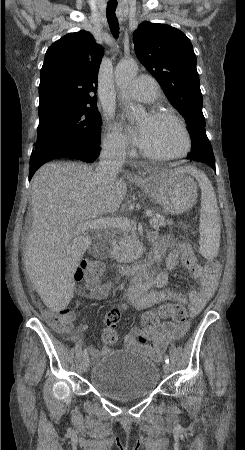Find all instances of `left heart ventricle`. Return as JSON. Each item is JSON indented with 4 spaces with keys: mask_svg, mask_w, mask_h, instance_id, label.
Segmentation results:
<instances>
[{
    "mask_svg": "<svg viewBox=\"0 0 245 450\" xmlns=\"http://www.w3.org/2000/svg\"><path fill=\"white\" fill-rule=\"evenodd\" d=\"M140 127L144 130L141 147L159 155L180 153L185 147V137L180 127L169 119L154 120L146 117Z\"/></svg>",
    "mask_w": 245,
    "mask_h": 450,
    "instance_id": "obj_1",
    "label": "left heart ventricle"
}]
</instances>
